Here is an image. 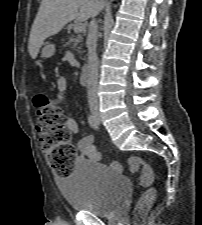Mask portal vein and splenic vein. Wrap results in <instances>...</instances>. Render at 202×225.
<instances>
[{"label":"portal vein and splenic vein","mask_w":202,"mask_h":225,"mask_svg":"<svg viewBox=\"0 0 202 225\" xmlns=\"http://www.w3.org/2000/svg\"><path fill=\"white\" fill-rule=\"evenodd\" d=\"M85 30V24L79 22L74 25V32L81 33Z\"/></svg>","instance_id":"portal-vein-and-splenic-vein-1"}]
</instances>
